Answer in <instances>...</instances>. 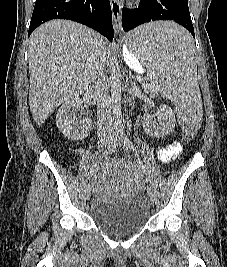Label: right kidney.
Segmentation results:
<instances>
[{"instance_id": "obj_1", "label": "right kidney", "mask_w": 227, "mask_h": 267, "mask_svg": "<svg viewBox=\"0 0 227 267\" xmlns=\"http://www.w3.org/2000/svg\"><path fill=\"white\" fill-rule=\"evenodd\" d=\"M82 100L73 98L66 101L56 115V125L59 130L69 139L74 141L83 140L91 130V120L77 118V111L82 108Z\"/></svg>"}]
</instances>
